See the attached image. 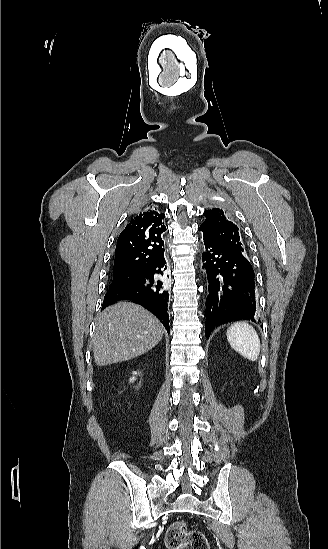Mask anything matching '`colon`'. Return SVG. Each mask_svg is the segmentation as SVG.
<instances>
[{"instance_id": "1", "label": "colon", "mask_w": 328, "mask_h": 549, "mask_svg": "<svg viewBox=\"0 0 328 549\" xmlns=\"http://www.w3.org/2000/svg\"><path fill=\"white\" fill-rule=\"evenodd\" d=\"M165 543L169 549H209L206 536L198 530L189 529L183 521L169 526Z\"/></svg>"}]
</instances>
